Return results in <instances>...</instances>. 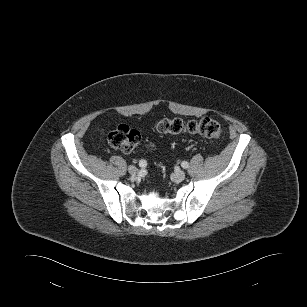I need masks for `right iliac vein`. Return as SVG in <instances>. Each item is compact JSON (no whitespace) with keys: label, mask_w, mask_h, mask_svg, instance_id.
Segmentation results:
<instances>
[{"label":"right iliac vein","mask_w":307,"mask_h":307,"mask_svg":"<svg viewBox=\"0 0 307 307\" xmlns=\"http://www.w3.org/2000/svg\"><path fill=\"white\" fill-rule=\"evenodd\" d=\"M128 172H129L131 175H135V174H137L138 169H137V167L131 165V166L128 167Z\"/></svg>","instance_id":"obj_1"}]
</instances>
